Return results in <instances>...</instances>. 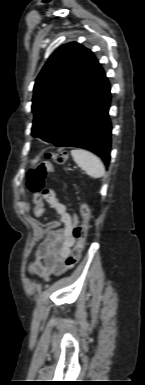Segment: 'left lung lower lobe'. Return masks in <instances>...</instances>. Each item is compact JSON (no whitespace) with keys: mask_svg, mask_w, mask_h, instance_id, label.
<instances>
[{"mask_svg":"<svg viewBox=\"0 0 145 385\" xmlns=\"http://www.w3.org/2000/svg\"><path fill=\"white\" fill-rule=\"evenodd\" d=\"M110 85L97 63L79 100L64 117L50 142L55 146H75L96 153L108 166L111 147Z\"/></svg>","mask_w":145,"mask_h":385,"instance_id":"0a47b994","label":"left lung lower lobe"}]
</instances>
